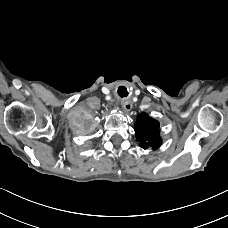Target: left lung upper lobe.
Segmentation results:
<instances>
[{
	"label": "left lung upper lobe",
	"instance_id": "1",
	"mask_svg": "<svg viewBox=\"0 0 228 228\" xmlns=\"http://www.w3.org/2000/svg\"><path fill=\"white\" fill-rule=\"evenodd\" d=\"M135 134L140 146L144 149L152 147L154 150L161 145L159 122L148 116L146 113L138 115L135 124Z\"/></svg>",
	"mask_w": 228,
	"mask_h": 228
}]
</instances>
